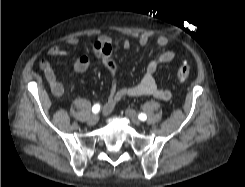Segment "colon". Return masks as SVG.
I'll return each instance as SVG.
<instances>
[{
  "label": "colon",
  "instance_id": "obj_1",
  "mask_svg": "<svg viewBox=\"0 0 245 187\" xmlns=\"http://www.w3.org/2000/svg\"><path fill=\"white\" fill-rule=\"evenodd\" d=\"M190 74V67L186 62H181L177 69V78L179 82L184 83Z\"/></svg>",
  "mask_w": 245,
  "mask_h": 187
}]
</instances>
